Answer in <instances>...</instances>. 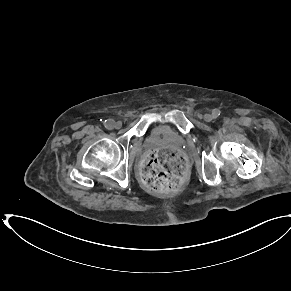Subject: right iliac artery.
I'll return each mask as SVG.
<instances>
[{
	"instance_id": "1",
	"label": "right iliac artery",
	"mask_w": 291,
	"mask_h": 291,
	"mask_svg": "<svg viewBox=\"0 0 291 291\" xmlns=\"http://www.w3.org/2000/svg\"><path fill=\"white\" fill-rule=\"evenodd\" d=\"M105 127L107 129H112L114 127V121L113 120H105Z\"/></svg>"
}]
</instances>
